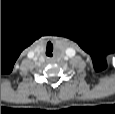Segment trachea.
Instances as JSON below:
<instances>
[{
    "instance_id": "obj_1",
    "label": "trachea",
    "mask_w": 115,
    "mask_h": 114,
    "mask_svg": "<svg viewBox=\"0 0 115 114\" xmlns=\"http://www.w3.org/2000/svg\"><path fill=\"white\" fill-rule=\"evenodd\" d=\"M53 51V45L51 43H48L47 45V50H46V54L47 52H49L51 54V52ZM52 55V54H51Z\"/></svg>"
}]
</instances>
